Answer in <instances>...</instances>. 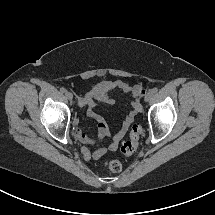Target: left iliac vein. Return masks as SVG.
Wrapping results in <instances>:
<instances>
[{"label": "left iliac vein", "instance_id": "obj_1", "mask_svg": "<svg viewBox=\"0 0 215 215\" xmlns=\"http://www.w3.org/2000/svg\"><path fill=\"white\" fill-rule=\"evenodd\" d=\"M153 96V93L152 91L148 92L146 95H145V101L148 102Z\"/></svg>", "mask_w": 215, "mask_h": 215}]
</instances>
